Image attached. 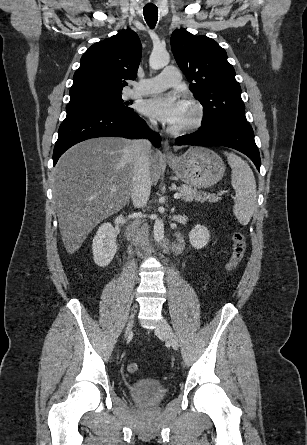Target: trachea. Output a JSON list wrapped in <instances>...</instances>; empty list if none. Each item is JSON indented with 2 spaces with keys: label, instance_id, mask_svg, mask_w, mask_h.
<instances>
[{
  "label": "trachea",
  "instance_id": "trachea-1",
  "mask_svg": "<svg viewBox=\"0 0 307 445\" xmlns=\"http://www.w3.org/2000/svg\"><path fill=\"white\" fill-rule=\"evenodd\" d=\"M144 18L150 28H154L158 19V9L155 6H146L143 8Z\"/></svg>",
  "mask_w": 307,
  "mask_h": 445
}]
</instances>
